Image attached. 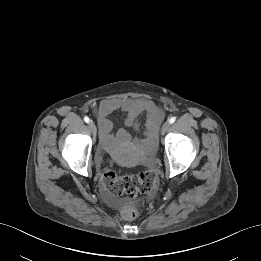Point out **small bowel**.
<instances>
[{
  "instance_id": "c3829d8e",
  "label": "small bowel",
  "mask_w": 261,
  "mask_h": 261,
  "mask_svg": "<svg viewBox=\"0 0 261 261\" xmlns=\"http://www.w3.org/2000/svg\"><path fill=\"white\" fill-rule=\"evenodd\" d=\"M92 112L96 117L103 140L109 141L112 138L111 132L113 123L110 117L117 112L126 114L125 124L130 127H136L138 120L142 115H146V130L148 136L154 137L159 125L164 117V111L154 102L146 99L133 98H109L101 101L92 107ZM118 135H125L120 131Z\"/></svg>"
}]
</instances>
